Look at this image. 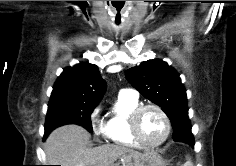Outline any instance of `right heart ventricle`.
<instances>
[{
	"label": "right heart ventricle",
	"mask_w": 236,
	"mask_h": 166,
	"mask_svg": "<svg viewBox=\"0 0 236 166\" xmlns=\"http://www.w3.org/2000/svg\"><path fill=\"white\" fill-rule=\"evenodd\" d=\"M140 106L137 97L118 96L105 125L106 137L115 145L127 148H141L132 137L129 128L131 113Z\"/></svg>",
	"instance_id": "e07e8e85"
}]
</instances>
